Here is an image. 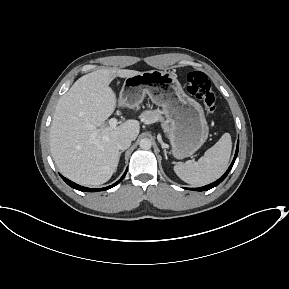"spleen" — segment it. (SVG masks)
I'll use <instances>...</instances> for the list:
<instances>
[{"label":"spleen","instance_id":"3e777b00","mask_svg":"<svg viewBox=\"0 0 289 289\" xmlns=\"http://www.w3.org/2000/svg\"><path fill=\"white\" fill-rule=\"evenodd\" d=\"M231 150V136L225 133L197 162L178 163L174 166V171L181 180L190 185L209 184L218 179L226 170Z\"/></svg>","mask_w":289,"mask_h":289}]
</instances>
